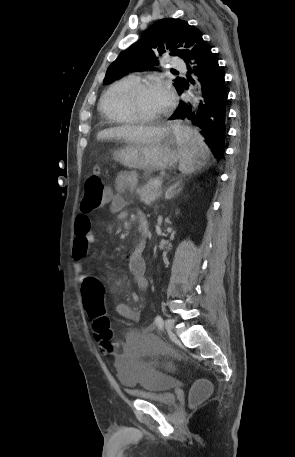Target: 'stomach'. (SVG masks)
<instances>
[{"instance_id": "stomach-1", "label": "stomach", "mask_w": 295, "mask_h": 457, "mask_svg": "<svg viewBox=\"0 0 295 457\" xmlns=\"http://www.w3.org/2000/svg\"><path fill=\"white\" fill-rule=\"evenodd\" d=\"M176 143L174 126H166L155 142L145 145L127 143L113 152V158L131 168L144 171L164 170L174 166L180 159L179 153L173 148Z\"/></svg>"}]
</instances>
